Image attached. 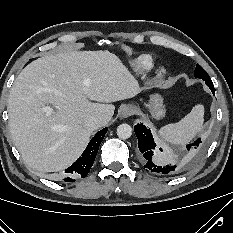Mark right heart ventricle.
<instances>
[{
    "label": "right heart ventricle",
    "mask_w": 233,
    "mask_h": 233,
    "mask_svg": "<svg viewBox=\"0 0 233 233\" xmlns=\"http://www.w3.org/2000/svg\"><path fill=\"white\" fill-rule=\"evenodd\" d=\"M153 65V58L150 55L142 54L132 61V67L137 72L146 71Z\"/></svg>",
    "instance_id": "right-heart-ventricle-1"
}]
</instances>
